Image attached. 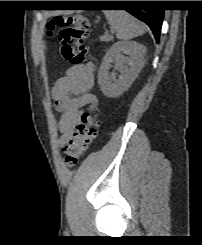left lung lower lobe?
Here are the masks:
<instances>
[{"mask_svg":"<svg viewBox=\"0 0 202 245\" xmlns=\"http://www.w3.org/2000/svg\"><path fill=\"white\" fill-rule=\"evenodd\" d=\"M104 3L107 6L130 7L126 11L145 22L152 30L156 41H159L164 10L148 8L154 4L153 1H104ZM131 6H138V8H131Z\"/></svg>","mask_w":202,"mask_h":245,"instance_id":"0a47b994","label":"left lung lower lobe"}]
</instances>
